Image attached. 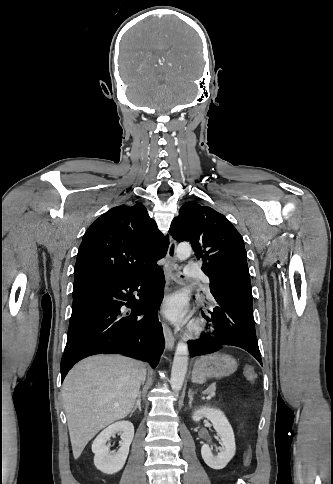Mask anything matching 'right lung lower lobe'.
Here are the masks:
<instances>
[{"label":"right lung lower lobe","instance_id":"right-lung-lower-lobe-1","mask_svg":"<svg viewBox=\"0 0 333 484\" xmlns=\"http://www.w3.org/2000/svg\"><path fill=\"white\" fill-rule=\"evenodd\" d=\"M164 283L158 265L133 279L95 278L74 283L61 360L62 381L76 362L101 353L127 355L155 368L165 345L157 317ZM133 291H138L140 300ZM123 306L131 308V313Z\"/></svg>","mask_w":333,"mask_h":484}]
</instances>
